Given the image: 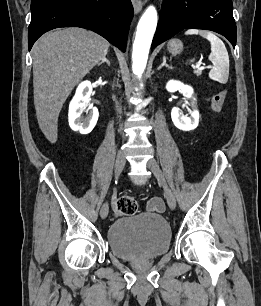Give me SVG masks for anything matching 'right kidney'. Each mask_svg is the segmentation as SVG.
I'll return each mask as SVG.
<instances>
[{
	"mask_svg": "<svg viewBox=\"0 0 261 306\" xmlns=\"http://www.w3.org/2000/svg\"><path fill=\"white\" fill-rule=\"evenodd\" d=\"M92 92L90 81H84L79 84L76 93L69 104V125L72 130L79 131L81 134L90 133L95 127L98 120V110L96 107L89 106L87 117H82V112L88 106V100Z\"/></svg>",
	"mask_w": 261,
	"mask_h": 306,
	"instance_id": "obj_1",
	"label": "right kidney"
}]
</instances>
